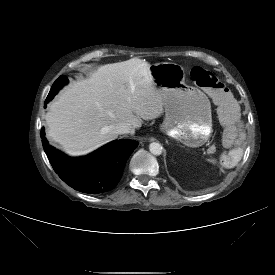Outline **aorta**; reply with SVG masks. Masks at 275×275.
I'll return each instance as SVG.
<instances>
[{"mask_svg":"<svg viewBox=\"0 0 275 275\" xmlns=\"http://www.w3.org/2000/svg\"><path fill=\"white\" fill-rule=\"evenodd\" d=\"M149 150L153 155L162 154V146L157 142H153L149 145Z\"/></svg>","mask_w":275,"mask_h":275,"instance_id":"aorta-1","label":"aorta"}]
</instances>
